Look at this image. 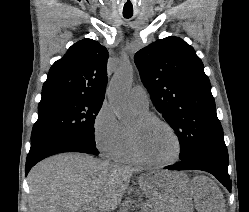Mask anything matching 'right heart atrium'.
<instances>
[{"mask_svg":"<svg viewBox=\"0 0 249 212\" xmlns=\"http://www.w3.org/2000/svg\"><path fill=\"white\" fill-rule=\"evenodd\" d=\"M92 133L98 150L105 157L119 159L126 136L109 103L103 102L94 115Z\"/></svg>","mask_w":249,"mask_h":212,"instance_id":"d8ad5b80","label":"right heart atrium"}]
</instances>
